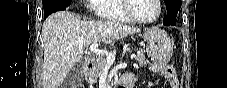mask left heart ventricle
<instances>
[{"instance_id": "b2bd125f", "label": "left heart ventricle", "mask_w": 227, "mask_h": 88, "mask_svg": "<svg viewBox=\"0 0 227 88\" xmlns=\"http://www.w3.org/2000/svg\"><path fill=\"white\" fill-rule=\"evenodd\" d=\"M132 12L139 19L149 20L156 17L158 8L154 0H134Z\"/></svg>"}]
</instances>
